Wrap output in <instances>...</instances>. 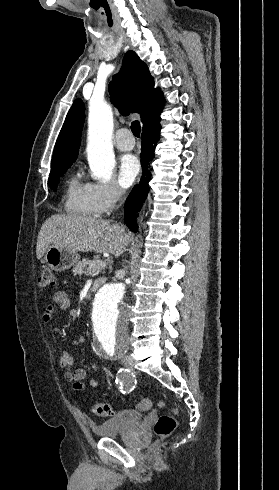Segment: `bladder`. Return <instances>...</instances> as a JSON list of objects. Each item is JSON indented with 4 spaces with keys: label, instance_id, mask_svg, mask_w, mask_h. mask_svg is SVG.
<instances>
[{
    "label": "bladder",
    "instance_id": "31cf9c89",
    "mask_svg": "<svg viewBox=\"0 0 279 490\" xmlns=\"http://www.w3.org/2000/svg\"><path fill=\"white\" fill-rule=\"evenodd\" d=\"M143 418L144 414L137 410L125 409L118 412L114 417L95 424L92 427V431L99 438L112 437L125 431H133L136 427H139Z\"/></svg>",
    "mask_w": 279,
    "mask_h": 490
}]
</instances>
